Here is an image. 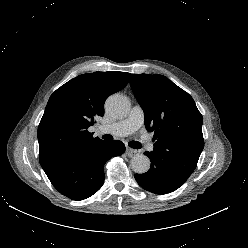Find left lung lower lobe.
Here are the masks:
<instances>
[{
  "instance_id": "obj_1",
  "label": "left lung lower lobe",
  "mask_w": 248,
  "mask_h": 248,
  "mask_svg": "<svg viewBox=\"0 0 248 248\" xmlns=\"http://www.w3.org/2000/svg\"><path fill=\"white\" fill-rule=\"evenodd\" d=\"M145 155L150 158V169L144 174H135L136 181L145 190L156 194H166L175 191L187 180L156 159L150 152H145Z\"/></svg>"
}]
</instances>
